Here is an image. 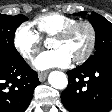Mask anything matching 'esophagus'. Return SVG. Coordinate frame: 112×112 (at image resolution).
I'll return each instance as SVG.
<instances>
[{"label": "esophagus", "instance_id": "34e87169", "mask_svg": "<svg viewBox=\"0 0 112 112\" xmlns=\"http://www.w3.org/2000/svg\"><path fill=\"white\" fill-rule=\"evenodd\" d=\"M38 78L41 82H43L47 78V72H40L38 74Z\"/></svg>", "mask_w": 112, "mask_h": 112}]
</instances>
